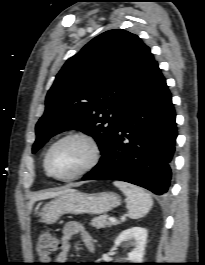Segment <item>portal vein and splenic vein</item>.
<instances>
[{
	"mask_svg": "<svg viewBox=\"0 0 205 265\" xmlns=\"http://www.w3.org/2000/svg\"><path fill=\"white\" fill-rule=\"evenodd\" d=\"M109 221L112 222V223H114V222H116V218H114V217H110V218H109Z\"/></svg>",
	"mask_w": 205,
	"mask_h": 265,
	"instance_id": "18ae733b",
	"label": "portal vein and splenic vein"
}]
</instances>
